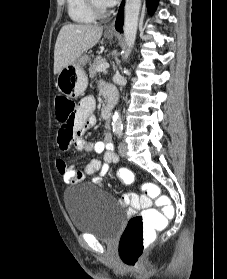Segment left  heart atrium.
Wrapping results in <instances>:
<instances>
[{
	"label": "left heart atrium",
	"instance_id": "left-heart-atrium-1",
	"mask_svg": "<svg viewBox=\"0 0 227 279\" xmlns=\"http://www.w3.org/2000/svg\"><path fill=\"white\" fill-rule=\"evenodd\" d=\"M106 6H112L116 0H102Z\"/></svg>",
	"mask_w": 227,
	"mask_h": 279
}]
</instances>
